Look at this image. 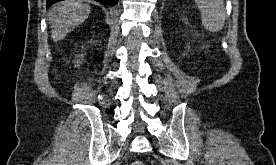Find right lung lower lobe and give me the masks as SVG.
<instances>
[{"mask_svg":"<svg viewBox=\"0 0 276 165\" xmlns=\"http://www.w3.org/2000/svg\"><path fill=\"white\" fill-rule=\"evenodd\" d=\"M59 1H61V0H47V8H49L52 4L59 2ZM96 1L106 4V5H109V6H113L118 3V0H96Z\"/></svg>","mask_w":276,"mask_h":165,"instance_id":"98d812e1","label":"right lung lower lobe"}]
</instances>
